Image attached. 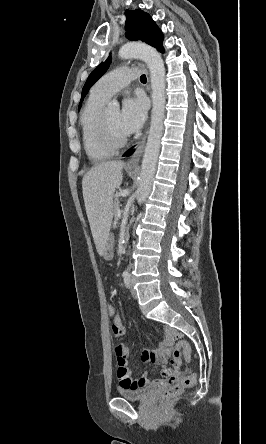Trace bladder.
I'll return each instance as SVG.
<instances>
[{
  "label": "bladder",
  "mask_w": 266,
  "mask_h": 444,
  "mask_svg": "<svg viewBox=\"0 0 266 444\" xmlns=\"http://www.w3.org/2000/svg\"><path fill=\"white\" fill-rule=\"evenodd\" d=\"M153 389V386H146L139 389H120L119 394L120 397L130 401H144L150 396Z\"/></svg>",
  "instance_id": "obj_1"
}]
</instances>
